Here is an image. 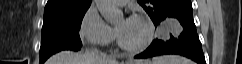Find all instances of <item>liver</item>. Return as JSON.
I'll return each instance as SVG.
<instances>
[{
	"label": "liver",
	"instance_id": "obj_1",
	"mask_svg": "<svg viewBox=\"0 0 242 64\" xmlns=\"http://www.w3.org/2000/svg\"><path fill=\"white\" fill-rule=\"evenodd\" d=\"M46 64H119L115 60H102L98 55L90 54H78L71 51H62L50 57ZM129 64H152L147 60H139L129 62Z\"/></svg>",
	"mask_w": 242,
	"mask_h": 64
}]
</instances>
